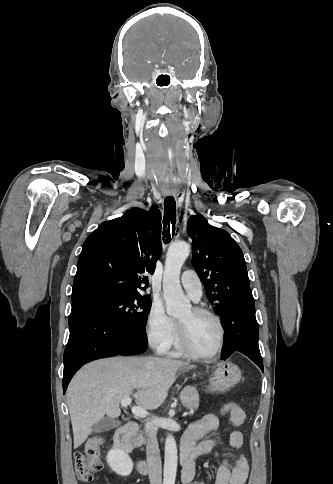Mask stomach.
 <instances>
[{
	"label": "stomach",
	"mask_w": 333,
	"mask_h": 484,
	"mask_svg": "<svg viewBox=\"0 0 333 484\" xmlns=\"http://www.w3.org/2000/svg\"><path fill=\"white\" fill-rule=\"evenodd\" d=\"M209 375L208 390L213 393H225L240 381L242 373L238 365L227 360L218 362Z\"/></svg>",
	"instance_id": "0dacf381"
}]
</instances>
